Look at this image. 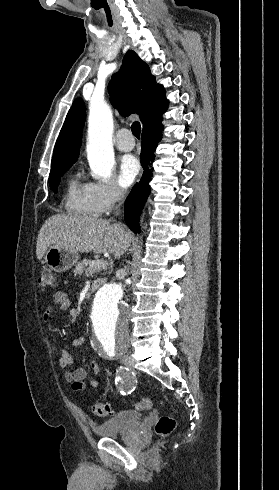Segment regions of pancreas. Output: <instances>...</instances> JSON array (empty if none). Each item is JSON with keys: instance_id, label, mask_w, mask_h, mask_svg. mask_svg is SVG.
Segmentation results:
<instances>
[{"instance_id": "1", "label": "pancreas", "mask_w": 279, "mask_h": 490, "mask_svg": "<svg viewBox=\"0 0 279 490\" xmlns=\"http://www.w3.org/2000/svg\"><path fill=\"white\" fill-rule=\"evenodd\" d=\"M108 266L107 262L100 264V266H92L91 260H83V262H77L73 272L74 274L92 276V274H97V272H102V270H108Z\"/></svg>"}]
</instances>
